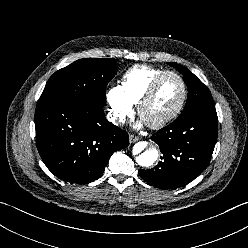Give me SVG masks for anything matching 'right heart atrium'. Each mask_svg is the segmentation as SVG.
<instances>
[{"instance_id":"right-heart-atrium-1","label":"right heart atrium","mask_w":248,"mask_h":248,"mask_svg":"<svg viewBox=\"0 0 248 248\" xmlns=\"http://www.w3.org/2000/svg\"><path fill=\"white\" fill-rule=\"evenodd\" d=\"M107 102L111 117L116 124H123L133 115V104L123 93L121 86H114L107 92Z\"/></svg>"}]
</instances>
